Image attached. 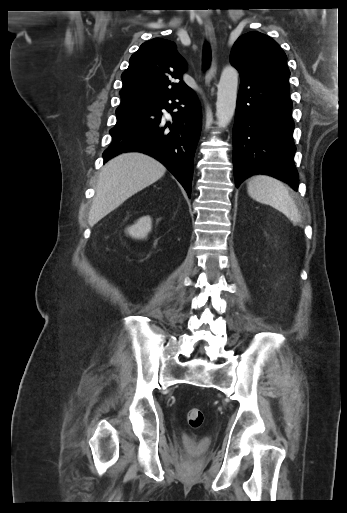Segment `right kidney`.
Here are the masks:
<instances>
[{
    "label": "right kidney",
    "instance_id": "1",
    "mask_svg": "<svg viewBox=\"0 0 347 513\" xmlns=\"http://www.w3.org/2000/svg\"><path fill=\"white\" fill-rule=\"evenodd\" d=\"M152 220L150 216H143L139 218L135 224L126 229V233L132 238L143 239L146 238L148 233L151 231Z\"/></svg>",
    "mask_w": 347,
    "mask_h": 513
}]
</instances>
